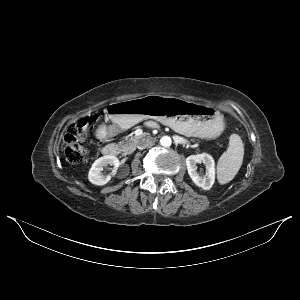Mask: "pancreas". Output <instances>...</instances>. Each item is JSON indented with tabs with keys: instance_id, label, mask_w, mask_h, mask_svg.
<instances>
[{
	"instance_id": "1",
	"label": "pancreas",
	"mask_w": 300,
	"mask_h": 300,
	"mask_svg": "<svg viewBox=\"0 0 300 300\" xmlns=\"http://www.w3.org/2000/svg\"><path fill=\"white\" fill-rule=\"evenodd\" d=\"M140 137L139 136H131L127 138L125 141L119 142L117 145L119 150L123 152L124 155H127L134 151L135 147L138 145Z\"/></svg>"
}]
</instances>
